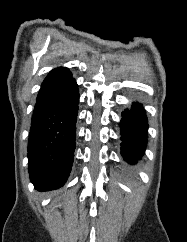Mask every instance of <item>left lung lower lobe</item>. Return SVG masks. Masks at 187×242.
Instances as JSON below:
<instances>
[{
	"label": "left lung lower lobe",
	"instance_id": "obj_1",
	"mask_svg": "<svg viewBox=\"0 0 187 242\" xmlns=\"http://www.w3.org/2000/svg\"><path fill=\"white\" fill-rule=\"evenodd\" d=\"M121 155L129 164H135L144 154L147 144V116L143 106L133 102L130 109L122 112Z\"/></svg>",
	"mask_w": 187,
	"mask_h": 242
}]
</instances>
